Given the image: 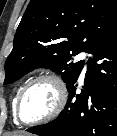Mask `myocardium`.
Returning a JSON list of instances; mask_svg holds the SVG:
<instances>
[{
  "label": "myocardium",
  "instance_id": "myocardium-1",
  "mask_svg": "<svg viewBox=\"0 0 117 136\" xmlns=\"http://www.w3.org/2000/svg\"><path fill=\"white\" fill-rule=\"evenodd\" d=\"M40 82H49L54 86L57 92L56 105L53 108V110L46 116L36 120H32V121H24L20 116V105H21L22 99L25 96V94L30 90V88H32L34 85ZM67 98H68L67 85L64 79L59 74L55 72H47V73L40 74L34 77L33 79H31L29 82H27L22 87L21 91L19 92L17 100H16L15 110H14L15 119L24 125H35V124L49 122L55 119L62 112V110L64 109L66 105Z\"/></svg>",
  "mask_w": 117,
  "mask_h": 136
}]
</instances>
